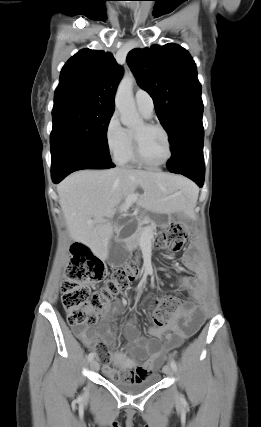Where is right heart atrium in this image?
I'll return each instance as SVG.
<instances>
[{
  "label": "right heart atrium",
  "instance_id": "d8ad5b80",
  "mask_svg": "<svg viewBox=\"0 0 261 427\" xmlns=\"http://www.w3.org/2000/svg\"><path fill=\"white\" fill-rule=\"evenodd\" d=\"M104 138L108 152L118 161L127 149L128 134L127 130L121 125L116 112L111 114L105 125Z\"/></svg>",
  "mask_w": 261,
  "mask_h": 427
}]
</instances>
